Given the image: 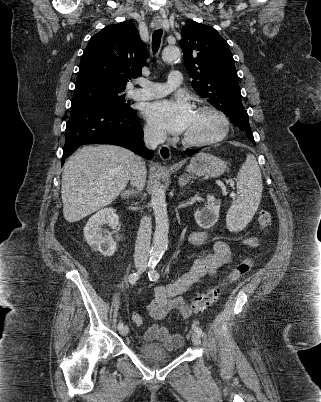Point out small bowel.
<instances>
[{
    "mask_svg": "<svg viewBox=\"0 0 321 402\" xmlns=\"http://www.w3.org/2000/svg\"><path fill=\"white\" fill-rule=\"evenodd\" d=\"M192 244L201 246L209 241V235L202 231H192L189 234ZM243 243L250 247H257L259 242L255 237H245ZM232 251L228 243L218 239L213 243V250L200 256L193 262L188 271L180 275L175 281L158 285L154 288V298L148 306L149 315L154 320L160 321L171 311H176L182 317L187 318L191 315L186 300L181 296L182 293L190 289L199 279L213 275L221 266L231 262ZM147 341H160L167 348L181 345L182 335L170 333L162 324L149 326L144 334Z\"/></svg>",
    "mask_w": 321,
    "mask_h": 402,
    "instance_id": "c3829d8e",
    "label": "small bowel"
}]
</instances>
